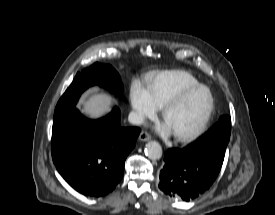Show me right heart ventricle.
<instances>
[{
    "instance_id": "right-heart-ventricle-1",
    "label": "right heart ventricle",
    "mask_w": 275,
    "mask_h": 215,
    "mask_svg": "<svg viewBox=\"0 0 275 215\" xmlns=\"http://www.w3.org/2000/svg\"><path fill=\"white\" fill-rule=\"evenodd\" d=\"M147 90L158 108L185 87L198 84L199 81L184 70H166L154 72L147 77Z\"/></svg>"
}]
</instances>
